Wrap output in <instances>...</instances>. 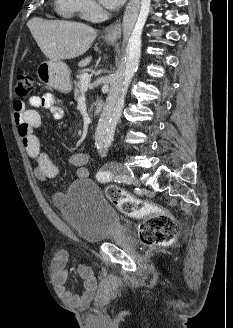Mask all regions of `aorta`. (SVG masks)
Masks as SVG:
<instances>
[{"label": "aorta", "mask_w": 233, "mask_h": 328, "mask_svg": "<svg viewBox=\"0 0 233 328\" xmlns=\"http://www.w3.org/2000/svg\"><path fill=\"white\" fill-rule=\"evenodd\" d=\"M151 0H130L123 16V38L127 42L125 61L110 79V90L100 115L95 144L98 148L111 146L116 125L121 117L128 86L138 69L141 57V35Z\"/></svg>", "instance_id": "762f6f07"}]
</instances>
